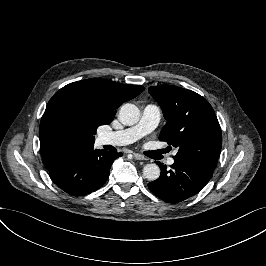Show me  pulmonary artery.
I'll return each instance as SVG.
<instances>
[{
    "label": "pulmonary artery",
    "instance_id": "e3ab8cb5",
    "mask_svg": "<svg viewBox=\"0 0 266 266\" xmlns=\"http://www.w3.org/2000/svg\"><path fill=\"white\" fill-rule=\"evenodd\" d=\"M161 110L156 104H147L141 113L139 122L127 129L110 131L101 135V143L104 145L124 146L151 133L159 124ZM177 150L174 151L176 155ZM174 163L173 157L167 159V164Z\"/></svg>",
    "mask_w": 266,
    "mask_h": 266
}]
</instances>
